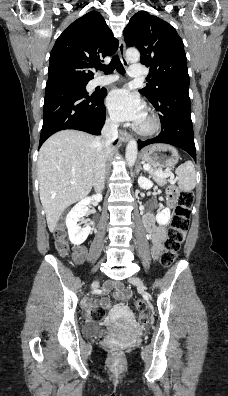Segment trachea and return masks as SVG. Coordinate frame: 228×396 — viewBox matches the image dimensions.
Here are the masks:
<instances>
[{"label":"trachea","mask_w":228,"mask_h":396,"mask_svg":"<svg viewBox=\"0 0 228 396\" xmlns=\"http://www.w3.org/2000/svg\"><path fill=\"white\" fill-rule=\"evenodd\" d=\"M97 68L102 70L106 75L111 74L115 69L121 74L125 73V69L118 57H114L109 65H99Z\"/></svg>","instance_id":"3493384b"}]
</instances>
